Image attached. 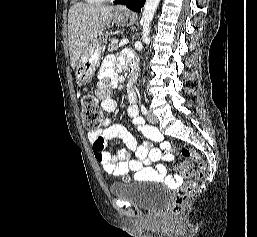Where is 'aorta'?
<instances>
[{
	"instance_id": "aorta-1",
	"label": "aorta",
	"mask_w": 257,
	"mask_h": 237,
	"mask_svg": "<svg viewBox=\"0 0 257 237\" xmlns=\"http://www.w3.org/2000/svg\"><path fill=\"white\" fill-rule=\"evenodd\" d=\"M160 0H146L145 6L142 12L141 25H142V42L147 43L149 41L150 24L153 20L155 11L159 5Z\"/></svg>"
}]
</instances>
